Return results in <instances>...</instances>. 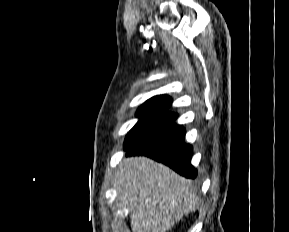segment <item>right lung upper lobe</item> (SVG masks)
<instances>
[{"instance_id":"cb5924a9","label":"right lung upper lobe","mask_w":289,"mask_h":232,"mask_svg":"<svg viewBox=\"0 0 289 232\" xmlns=\"http://www.w3.org/2000/svg\"><path fill=\"white\" fill-rule=\"evenodd\" d=\"M172 99L166 95L154 96L146 101V104L151 107L167 109L171 106Z\"/></svg>"}]
</instances>
